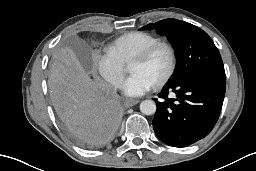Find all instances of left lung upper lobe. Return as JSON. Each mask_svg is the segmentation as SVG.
<instances>
[{"instance_id":"5c2ea615","label":"left lung upper lobe","mask_w":256,"mask_h":171,"mask_svg":"<svg viewBox=\"0 0 256 171\" xmlns=\"http://www.w3.org/2000/svg\"><path fill=\"white\" fill-rule=\"evenodd\" d=\"M153 29L167 36L175 48L177 64L168 83H174L195 72L224 71L218 49L208 34L199 27L176 19H165L140 28Z\"/></svg>"}]
</instances>
